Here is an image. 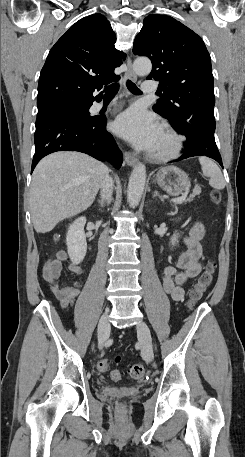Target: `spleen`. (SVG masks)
<instances>
[{"label":"spleen","mask_w":245,"mask_h":457,"mask_svg":"<svg viewBox=\"0 0 245 457\" xmlns=\"http://www.w3.org/2000/svg\"><path fill=\"white\" fill-rule=\"evenodd\" d=\"M199 162L204 176H210L209 184L213 188H224V176L216 162L212 158H208V156H199Z\"/></svg>","instance_id":"1"}]
</instances>
